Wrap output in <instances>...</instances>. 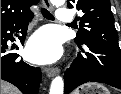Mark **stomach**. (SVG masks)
Masks as SVG:
<instances>
[{"label": "stomach", "instance_id": "0dacf381", "mask_svg": "<svg viewBox=\"0 0 121 94\" xmlns=\"http://www.w3.org/2000/svg\"><path fill=\"white\" fill-rule=\"evenodd\" d=\"M73 94H110L109 90L97 83H88L81 87V90H76Z\"/></svg>", "mask_w": 121, "mask_h": 94}]
</instances>
